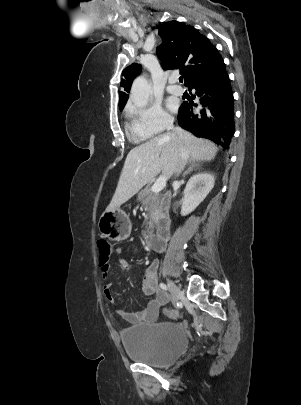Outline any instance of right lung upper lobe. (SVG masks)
<instances>
[{"label":"right lung upper lobe","mask_w":301,"mask_h":405,"mask_svg":"<svg viewBox=\"0 0 301 405\" xmlns=\"http://www.w3.org/2000/svg\"><path fill=\"white\" fill-rule=\"evenodd\" d=\"M162 44L157 47V56L164 70L180 68L185 85L212 72L223 60L209 39L193 26L178 21L164 23L159 29ZM141 72V65L133 63L123 71L121 86L130 91L133 79ZM128 95L120 92L119 108L122 110Z\"/></svg>","instance_id":"1"}]
</instances>
